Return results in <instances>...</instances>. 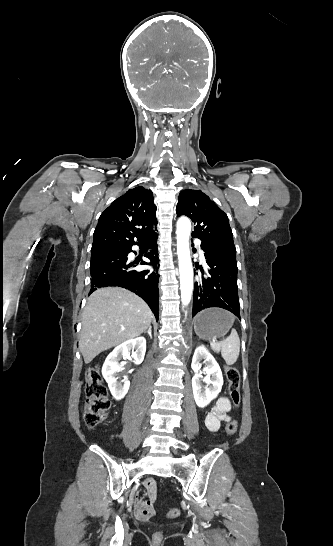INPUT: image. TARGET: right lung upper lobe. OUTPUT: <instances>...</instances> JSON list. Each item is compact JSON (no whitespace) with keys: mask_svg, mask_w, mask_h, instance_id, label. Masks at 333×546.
Returning <instances> with one entry per match:
<instances>
[{"mask_svg":"<svg viewBox=\"0 0 333 546\" xmlns=\"http://www.w3.org/2000/svg\"><path fill=\"white\" fill-rule=\"evenodd\" d=\"M153 193L144 187L130 189L101 214L92 247L111 242L141 241L155 233L157 224Z\"/></svg>","mask_w":333,"mask_h":546,"instance_id":"right-lung-upper-lobe-1","label":"right lung upper lobe"}]
</instances>
